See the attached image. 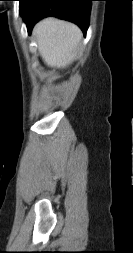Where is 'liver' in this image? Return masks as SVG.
Returning a JSON list of instances; mask_svg holds the SVG:
<instances>
[{
  "mask_svg": "<svg viewBox=\"0 0 133 253\" xmlns=\"http://www.w3.org/2000/svg\"><path fill=\"white\" fill-rule=\"evenodd\" d=\"M33 34L44 62L51 67L65 66L71 62L82 37L81 30L75 24L53 17L37 23Z\"/></svg>",
  "mask_w": 133,
  "mask_h": 253,
  "instance_id": "obj_1",
  "label": "liver"
}]
</instances>
